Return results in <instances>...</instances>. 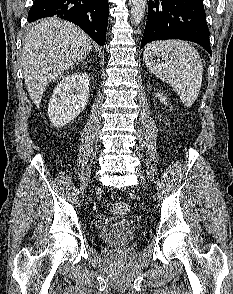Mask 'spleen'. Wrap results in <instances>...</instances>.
<instances>
[{
    "mask_svg": "<svg viewBox=\"0 0 233 294\" xmlns=\"http://www.w3.org/2000/svg\"><path fill=\"white\" fill-rule=\"evenodd\" d=\"M157 55L164 63L153 60ZM147 68L168 83L186 107L196 101L203 76V65L198 51L182 40L155 41L146 45L143 54Z\"/></svg>",
    "mask_w": 233,
    "mask_h": 294,
    "instance_id": "3e777b00",
    "label": "spleen"
}]
</instances>
